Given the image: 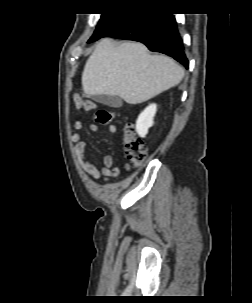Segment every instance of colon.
<instances>
[{
	"label": "colon",
	"mask_w": 252,
	"mask_h": 303,
	"mask_svg": "<svg viewBox=\"0 0 252 303\" xmlns=\"http://www.w3.org/2000/svg\"><path fill=\"white\" fill-rule=\"evenodd\" d=\"M74 104L77 109L90 110L95 108L92 101H83L79 96L74 98ZM114 119V113L111 110L100 109L96 112L95 121L99 124H108ZM124 150L128 160L133 164L141 163L146 157V149L142 140L137 136L136 130L132 124L124 129L123 134Z\"/></svg>",
	"instance_id": "colon-1"
}]
</instances>
